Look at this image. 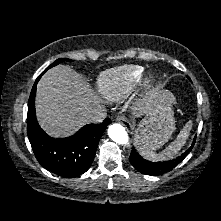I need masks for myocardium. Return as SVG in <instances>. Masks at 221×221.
Instances as JSON below:
<instances>
[{
	"mask_svg": "<svg viewBox=\"0 0 221 221\" xmlns=\"http://www.w3.org/2000/svg\"><path fill=\"white\" fill-rule=\"evenodd\" d=\"M156 85V78L154 75L148 74L141 81V87L144 90H151Z\"/></svg>",
	"mask_w": 221,
	"mask_h": 221,
	"instance_id": "f54148a6",
	"label": "myocardium"
}]
</instances>
